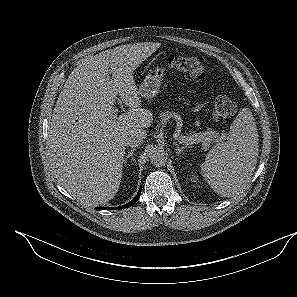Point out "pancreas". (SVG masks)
<instances>
[{
    "label": "pancreas",
    "mask_w": 297,
    "mask_h": 297,
    "mask_svg": "<svg viewBox=\"0 0 297 297\" xmlns=\"http://www.w3.org/2000/svg\"><path fill=\"white\" fill-rule=\"evenodd\" d=\"M160 117L162 119V121L166 122L168 121L170 118H175L177 122H181V118L178 114H176L175 112H170V111H166V112H162L160 114ZM184 138H192V144L195 143H202L203 145H208V143L210 142V139L212 138V131L208 130L205 132H191L188 136H181L179 137V139Z\"/></svg>",
    "instance_id": "cf45deb5"
}]
</instances>
